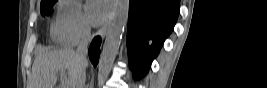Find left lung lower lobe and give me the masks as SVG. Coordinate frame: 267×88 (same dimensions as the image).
Masks as SVG:
<instances>
[{"mask_svg":"<svg viewBox=\"0 0 267 88\" xmlns=\"http://www.w3.org/2000/svg\"><path fill=\"white\" fill-rule=\"evenodd\" d=\"M179 0H129L127 47L135 78L144 76L172 32Z\"/></svg>","mask_w":267,"mask_h":88,"instance_id":"0a47b994","label":"left lung lower lobe"}]
</instances>
